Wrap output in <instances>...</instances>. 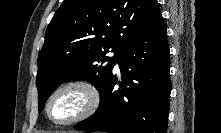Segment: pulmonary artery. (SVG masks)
Wrapping results in <instances>:
<instances>
[{"mask_svg":"<svg viewBox=\"0 0 221 133\" xmlns=\"http://www.w3.org/2000/svg\"><path fill=\"white\" fill-rule=\"evenodd\" d=\"M116 70H118V65L116 66V68H115Z\"/></svg>","mask_w":221,"mask_h":133,"instance_id":"obj_1","label":"pulmonary artery"}]
</instances>
